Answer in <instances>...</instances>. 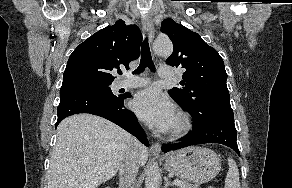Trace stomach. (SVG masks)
<instances>
[{"instance_id": "obj_1", "label": "stomach", "mask_w": 292, "mask_h": 188, "mask_svg": "<svg viewBox=\"0 0 292 188\" xmlns=\"http://www.w3.org/2000/svg\"><path fill=\"white\" fill-rule=\"evenodd\" d=\"M164 166L183 181L204 183L219 173L221 160L209 148L191 146L170 153Z\"/></svg>"}]
</instances>
